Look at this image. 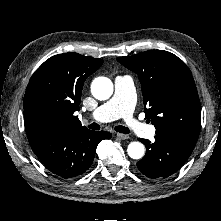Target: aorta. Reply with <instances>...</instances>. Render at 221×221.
<instances>
[{
	"label": "aorta",
	"instance_id": "762f6f07",
	"mask_svg": "<svg viewBox=\"0 0 221 221\" xmlns=\"http://www.w3.org/2000/svg\"><path fill=\"white\" fill-rule=\"evenodd\" d=\"M91 93L98 100H106L113 94V83L107 77H97L91 84ZM128 155L133 159H141L145 154L144 145L132 142L127 148Z\"/></svg>",
	"mask_w": 221,
	"mask_h": 221
}]
</instances>
